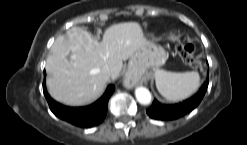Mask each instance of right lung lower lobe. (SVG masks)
Here are the masks:
<instances>
[{
    "label": "right lung lower lobe",
    "mask_w": 247,
    "mask_h": 145,
    "mask_svg": "<svg viewBox=\"0 0 247 145\" xmlns=\"http://www.w3.org/2000/svg\"><path fill=\"white\" fill-rule=\"evenodd\" d=\"M115 90L109 85L104 95L94 104L86 107H67L55 102L47 93L45 82L44 95L51 111L59 118L79 127H92L100 124L106 116L108 100Z\"/></svg>",
    "instance_id": "right-lung-lower-lobe-1"
}]
</instances>
